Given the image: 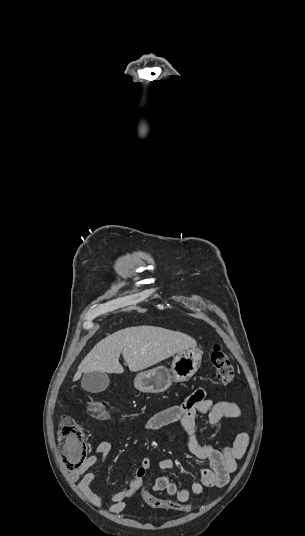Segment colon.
I'll use <instances>...</instances> for the list:
<instances>
[{
	"label": "colon",
	"mask_w": 305,
	"mask_h": 536,
	"mask_svg": "<svg viewBox=\"0 0 305 536\" xmlns=\"http://www.w3.org/2000/svg\"><path fill=\"white\" fill-rule=\"evenodd\" d=\"M210 361L216 372V380L219 385L226 387L233 380V370L227 353L219 343H215L210 352ZM88 414L94 419H104L109 415V406L104 399H93L87 406ZM84 433L80 424L72 417L63 416L60 419V428L57 438L61 442V462H64L65 471H80L81 462L85 459L88 447L83 439ZM142 501L149 506L152 512H188L192 506L181 503L180 500L168 498L163 502L162 498L153 492L142 488Z\"/></svg>",
	"instance_id": "colon-1"
}]
</instances>
